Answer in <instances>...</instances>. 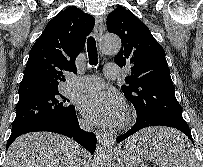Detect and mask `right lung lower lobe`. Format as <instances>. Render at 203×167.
Returning a JSON list of instances; mask_svg holds the SVG:
<instances>
[{
	"instance_id": "1",
	"label": "right lung lower lobe",
	"mask_w": 203,
	"mask_h": 167,
	"mask_svg": "<svg viewBox=\"0 0 203 167\" xmlns=\"http://www.w3.org/2000/svg\"><path fill=\"white\" fill-rule=\"evenodd\" d=\"M36 131L55 132L73 138L76 142L86 148L91 154H93L96 148V136L93 133L80 129L76 112H74L71 115L41 122L25 128L19 132L13 133L7 141L6 149L18 136Z\"/></svg>"
}]
</instances>
